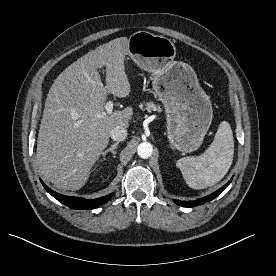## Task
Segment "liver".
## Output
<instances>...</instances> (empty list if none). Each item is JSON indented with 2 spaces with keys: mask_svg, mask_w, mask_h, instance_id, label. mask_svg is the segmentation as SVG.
I'll return each instance as SVG.
<instances>
[{
  "mask_svg": "<svg viewBox=\"0 0 276 276\" xmlns=\"http://www.w3.org/2000/svg\"><path fill=\"white\" fill-rule=\"evenodd\" d=\"M128 38L98 46L69 65L52 84L43 111L36 159L44 178L58 188L76 191L87 182L91 169L109 143L110 131L129 127L133 110L97 117L104 112L108 93L130 94L124 69ZM106 67V85L98 68Z\"/></svg>",
  "mask_w": 276,
  "mask_h": 276,
  "instance_id": "6515ba94",
  "label": "liver"
}]
</instances>
